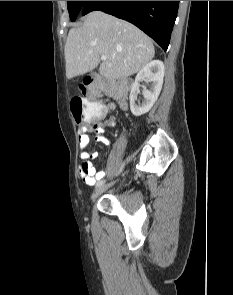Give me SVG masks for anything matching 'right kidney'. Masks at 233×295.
Listing matches in <instances>:
<instances>
[{"label":"right kidney","instance_id":"ca27d5eb","mask_svg":"<svg viewBox=\"0 0 233 295\" xmlns=\"http://www.w3.org/2000/svg\"><path fill=\"white\" fill-rule=\"evenodd\" d=\"M145 78L149 79L151 87L143 90L144 100L140 103L137 102L139 82ZM163 78L164 64L160 60L149 62L139 71L130 91V109L133 115L141 116L152 108L161 92Z\"/></svg>","mask_w":233,"mask_h":295}]
</instances>
